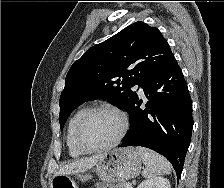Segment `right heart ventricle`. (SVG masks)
<instances>
[{
	"label": "right heart ventricle",
	"instance_id": "right-heart-ventricle-1",
	"mask_svg": "<svg viewBox=\"0 0 224 188\" xmlns=\"http://www.w3.org/2000/svg\"><path fill=\"white\" fill-rule=\"evenodd\" d=\"M87 111V108H81L79 109L70 119L68 128H67V134H66V144L68 148L69 155L73 158H78L82 156L84 153L80 151L74 142V130L76 127V124L80 117Z\"/></svg>",
	"mask_w": 224,
	"mask_h": 188
}]
</instances>
